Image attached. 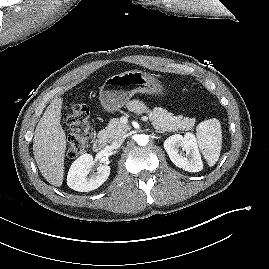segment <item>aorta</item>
Here are the masks:
<instances>
[{
	"label": "aorta",
	"instance_id": "762f6f07",
	"mask_svg": "<svg viewBox=\"0 0 269 269\" xmlns=\"http://www.w3.org/2000/svg\"><path fill=\"white\" fill-rule=\"evenodd\" d=\"M136 142L140 146H145L149 143V137L146 134H141L136 137Z\"/></svg>",
	"mask_w": 269,
	"mask_h": 269
}]
</instances>
